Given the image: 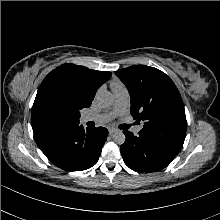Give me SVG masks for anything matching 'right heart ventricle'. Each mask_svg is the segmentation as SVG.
I'll use <instances>...</instances> for the list:
<instances>
[{
    "label": "right heart ventricle",
    "mask_w": 220,
    "mask_h": 220,
    "mask_svg": "<svg viewBox=\"0 0 220 220\" xmlns=\"http://www.w3.org/2000/svg\"><path fill=\"white\" fill-rule=\"evenodd\" d=\"M120 84L118 83V82H113L112 84H111V86H112V88H115V87H117V86H119Z\"/></svg>",
    "instance_id": "right-heart-ventricle-1"
}]
</instances>
